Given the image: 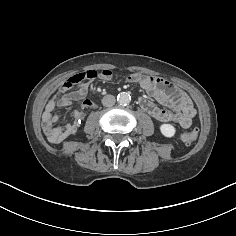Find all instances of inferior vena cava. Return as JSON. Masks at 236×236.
Instances as JSON below:
<instances>
[{
  "label": "inferior vena cava",
  "instance_id": "obj_1",
  "mask_svg": "<svg viewBox=\"0 0 236 236\" xmlns=\"http://www.w3.org/2000/svg\"><path fill=\"white\" fill-rule=\"evenodd\" d=\"M116 100L113 95H106L102 99V104L105 107H112L115 104Z\"/></svg>",
  "mask_w": 236,
  "mask_h": 236
}]
</instances>
